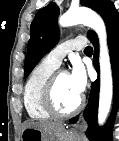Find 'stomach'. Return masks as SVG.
<instances>
[{"instance_id":"1","label":"stomach","mask_w":119,"mask_h":141,"mask_svg":"<svg viewBox=\"0 0 119 141\" xmlns=\"http://www.w3.org/2000/svg\"><path fill=\"white\" fill-rule=\"evenodd\" d=\"M21 141H81V138L65 129L51 131L38 127H27L22 131Z\"/></svg>"}]
</instances>
